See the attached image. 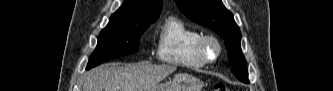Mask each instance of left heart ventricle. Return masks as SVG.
Listing matches in <instances>:
<instances>
[{
  "label": "left heart ventricle",
  "mask_w": 333,
  "mask_h": 91,
  "mask_svg": "<svg viewBox=\"0 0 333 91\" xmlns=\"http://www.w3.org/2000/svg\"><path fill=\"white\" fill-rule=\"evenodd\" d=\"M209 53H210L211 55H214V53H215V48H214L213 46L210 47V49H209Z\"/></svg>",
  "instance_id": "left-heart-ventricle-1"
}]
</instances>
